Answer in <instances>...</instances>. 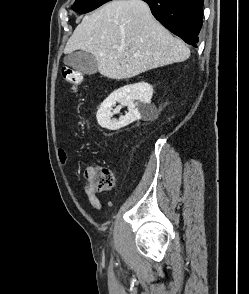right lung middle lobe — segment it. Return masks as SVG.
I'll use <instances>...</instances> for the list:
<instances>
[{
	"mask_svg": "<svg viewBox=\"0 0 249 294\" xmlns=\"http://www.w3.org/2000/svg\"><path fill=\"white\" fill-rule=\"evenodd\" d=\"M110 0H76L72 9L80 14L88 13Z\"/></svg>",
	"mask_w": 249,
	"mask_h": 294,
	"instance_id": "1",
	"label": "right lung middle lobe"
}]
</instances>
